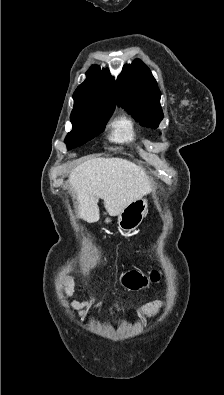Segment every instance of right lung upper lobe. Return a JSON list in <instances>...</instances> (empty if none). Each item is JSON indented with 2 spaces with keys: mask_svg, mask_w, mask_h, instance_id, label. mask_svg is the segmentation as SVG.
I'll list each match as a JSON object with an SVG mask.
<instances>
[{
  "mask_svg": "<svg viewBox=\"0 0 224 395\" xmlns=\"http://www.w3.org/2000/svg\"><path fill=\"white\" fill-rule=\"evenodd\" d=\"M87 79L78 86L74 98L84 99L93 105L104 108H115V81L108 69L101 71L99 66H92Z\"/></svg>",
  "mask_w": 224,
  "mask_h": 395,
  "instance_id": "1",
  "label": "right lung upper lobe"
}]
</instances>
